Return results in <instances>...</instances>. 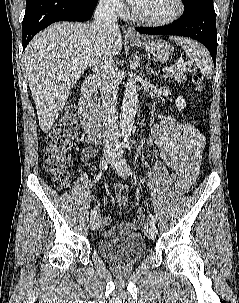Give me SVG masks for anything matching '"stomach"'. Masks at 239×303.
Listing matches in <instances>:
<instances>
[{
	"label": "stomach",
	"instance_id": "stomach-1",
	"mask_svg": "<svg viewBox=\"0 0 239 303\" xmlns=\"http://www.w3.org/2000/svg\"><path fill=\"white\" fill-rule=\"evenodd\" d=\"M130 43L132 45L143 47L147 52L151 53L157 61L161 63L167 62L170 58L171 47L166 41L142 38L136 40L131 39Z\"/></svg>",
	"mask_w": 239,
	"mask_h": 303
}]
</instances>
